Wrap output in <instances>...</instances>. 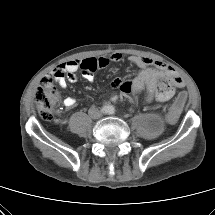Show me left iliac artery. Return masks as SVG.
<instances>
[{
  "mask_svg": "<svg viewBox=\"0 0 215 215\" xmlns=\"http://www.w3.org/2000/svg\"><path fill=\"white\" fill-rule=\"evenodd\" d=\"M108 112H109V114H114L115 109L113 107H109Z\"/></svg>",
  "mask_w": 215,
  "mask_h": 215,
  "instance_id": "left-iliac-artery-1",
  "label": "left iliac artery"
}]
</instances>
